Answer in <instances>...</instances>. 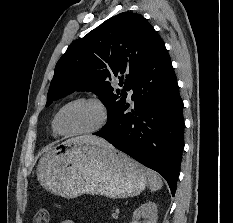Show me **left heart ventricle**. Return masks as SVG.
<instances>
[{
  "label": "left heart ventricle",
  "instance_id": "b2bd125f",
  "mask_svg": "<svg viewBox=\"0 0 233 223\" xmlns=\"http://www.w3.org/2000/svg\"><path fill=\"white\" fill-rule=\"evenodd\" d=\"M102 121L99 108L89 102H77L68 106L59 118V129L66 133L90 131Z\"/></svg>",
  "mask_w": 233,
  "mask_h": 223
}]
</instances>
